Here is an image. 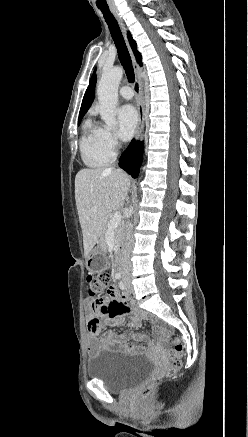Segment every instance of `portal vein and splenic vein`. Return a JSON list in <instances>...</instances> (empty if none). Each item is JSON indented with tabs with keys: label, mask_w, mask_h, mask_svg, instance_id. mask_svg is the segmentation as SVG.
Returning <instances> with one entry per match:
<instances>
[{
	"label": "portal vein and splenic vein",
	"mask_w": 248,
	"mask_h": 437,
	"mask_svg": "<svg viewBox=\"0 0 248 437\" xmlns=\"http://www.w3.org/2000/svg\"><path fill=\"white\" fill-rule=\"evenodd\" d=\"M93 211H96V209H93ZM120 222H121V213L115 212L113 217L109 221L108 229L111 230V229L116 228L120 224Z\"/></svg>",
	"instance_id": "obj_1"
}]
</instances>
